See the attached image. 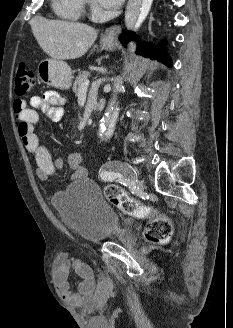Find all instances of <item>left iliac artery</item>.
Returning <instances> with one entry per match:
<instances>
[{
  "label": "left iliac artery",
  "instance_id": "obj_1",
  "mask_svg": "<svg viewBox=\"0 0 233 328\" xmlns=\"http://www.w3.org/2000/svg\"><path fill=\"white\" fill-rule=\"evenodd\" d=\"M100 177L104 181H113L117 179L121 184L131 187V185L127 182V180L124 179L123 176L117 172L102 171L100 173Z\"/></svg>",
  "mask_w": 233,
  "mask_h": 328
}]
</instances>
